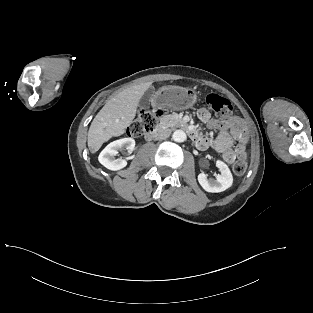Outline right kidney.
I'll list each match as a JSON object with an SVG mask.
<instances>
[{
	"instance_id": "1",
	"label": "right kidney",
	"mask_w": 313,
	"mask_h": 313,
	"mask_svg": "<svg viewBox=\"0 0 313 313\" xmlns=\"http://www.w3.org/2000/svg\"><path fill=\"white\" fill-rule=\"evenodd\" d=\"M125 147L129 153H132L135 147V140L132 138H122L108 144L100 153L99 162L109 170H120L127 165V161L122 158L116 159L118 149Z\"/></svg>"
}]
</instances>
